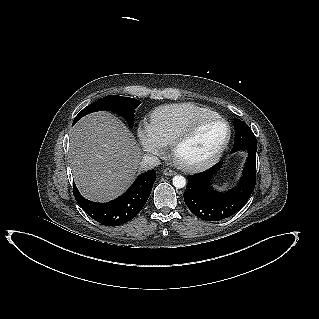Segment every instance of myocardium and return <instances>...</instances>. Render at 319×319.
<instances>
[{
  "instance_id": "myocardium-1",
  "label": "myocardium",
  "mask_w": 319,
  "mask_h": 319,
  "mask_svg": "<svg viewBox=\"0 0 319 319\" xmlns=\"http://www.w3.org/2000/svg\"><path fill=\"white\" fill-rule=\"evenodd\" d=\"M217 120L224 124L226 132L225 137L220 143V145L216 148V150L207 158L195 161V162H188L182 160L179 155L178 151L179 148L186 143L188 140L192 138V136L196 133L201 125L206 122ZM231 139V127L226 119L221 117L218 114L207 115L203 117H199L193 120L180 134L176 136V138L171 143V155L174 162L182 169L190 172L201 171L204 169L209 168L213 164H215L222 156L224 151L226 150L229 142Z\"/></svg>"
}]
</instances>
